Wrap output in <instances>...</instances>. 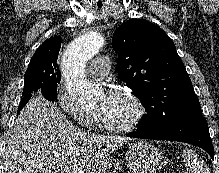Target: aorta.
<instances>
[{"label":"aorta","instance_id":"aorta-1","mask_svg":"<svg viewBox=\"0 0 219 173\" xmlns=\"http://www.w3.org/2000/svg\"><path fill=\"white\" fill-rule=\"evenodd\" d=\"M104 37L97 31H90L75 38L62 57V72L68 93L79 101L91 100L99 87L85 75L86 63L103 47Z\"/></svg>","mask_w":219,"mask_h":173}]
</instances>
